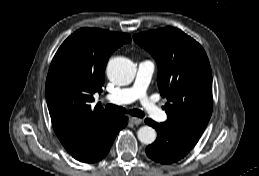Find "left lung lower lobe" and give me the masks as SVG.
<instances>
[{"mask_svg":"<svg viewBox=\"0 0 259 176\" xmlns=\"http://www.w3.org/2000/svg\"><path fill=\"white\" fill-rule=\"evenodd\" d=\"M145 122L158 133L156 141L146 148L147 156L158 163L171 164L182 159L199 140L198 137L173 130L165 123L158 124L151 119Z\"/></svg>","mask_w":259,"mask_h":176,"instance_id":"obj_1","label":"left lung lower lobe"}]
</instances>
